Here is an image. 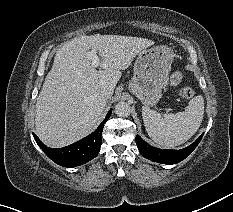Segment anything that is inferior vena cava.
Returning <instances> with one entry per match:
<instances>
[{"label": "inferior vena cava", "instance_id": "602c4592", "mask_svg": "<svg viewBox=\"0 0 233 212\" xmlns=\"http://www.w3.org/2000/svg\"><path fill=\"white\" fill-rule=\"evenodd\" d=\"M100 92H101V95L106 98L111 97L113 94V91H111L109 88H106V87L102 88Z\"/></svg>", "mask_w": 233, "mask_h": 212}]
</instances>
